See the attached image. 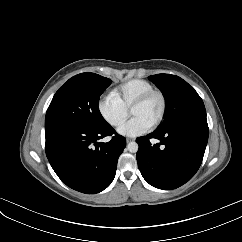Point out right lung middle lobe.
<instances>
[{"label": "right lung middle lobe", "instance_id": "dd1d6c3e", "mask_svg": "<svg viewBox=\"0 0 242 242\" xmlns=\"http://www.w3.org/2000/svg\"><path fill=\"white\" fill-rule=\"evenodd\" d=\"M111 80L95 73L70 78L54 95L45 118V127L57 123H78L102 128L108 123L99 112V97Z\"/></svg>", "mask_w": 242, "mask_h": 242}]
</instances>
